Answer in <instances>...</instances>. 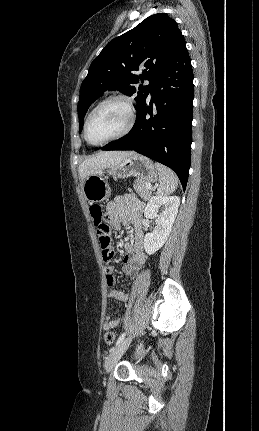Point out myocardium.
Wrapping results in <instances>:
<instances>
[{"instance_id": "myocardium-1", "label": "myocardium", "mask_w": 259, "mask_h": 431, "mask_svg": "<svg viewBox=\"0 0 259 431\" xmlns=\"http://www.w3.org/2000/svg\"><path fill=\"white\" fill-rule=\"evenodd\" d=\"M111 101H120L125 105L127 112H128V122H127L125 128L121 132L116 134L115 136H113V137H111L105 141H102L99 143H94L89 139V136H88V127H89L90 120H91L92 116L95 114V112L101 106H103L104 104L111 102ZM135 123H136V111H135L134 103H133V100L131 99V97H129L126 94H112V95L107 96L103 100H101L88 114L86 121H85V124H84V131H83L84 138H85L86 142L92 146H102V145L108 144L110 142L116 141L118 139H121V138L125 137L126 135H128L132 131V129L134 128Z\"/></svg>"}]
</instances>
